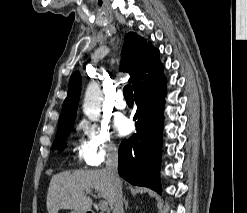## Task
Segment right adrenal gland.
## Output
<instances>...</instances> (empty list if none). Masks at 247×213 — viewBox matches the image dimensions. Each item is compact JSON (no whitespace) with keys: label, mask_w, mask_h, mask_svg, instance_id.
<instances>
[{"label":"right adrenal gland","mask_w":247,"mask_h":213,"mask_svg":"<svg viewBox=\"0 0 247 213\" xmlns=\"http://www.w3.org/2000/svg\"><path fill=\"white\" fill-rule=\"evenodd\" d=\"M124 204H125V209L127 210V208H128V201L126 200V197H124Z\"/></svg>","instance_id":"2a0ac1e0"}]
</instances>
